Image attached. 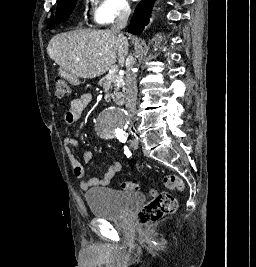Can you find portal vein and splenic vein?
<instances>
[{
    "label": "portal vein and splenic vein",
    "mask_w": 256,
    "mask_h": 267,
    "mask_svg": "<svg viewBox=\"0 0 256 267\" xmlns=\"http://www.w3.org/2000/svg\"><path fill=\"white\" fill-rule=\"evenodd\" d=\"M116 72H118L117 66H113V68H111L109 74H116Z\"/></svg>",
    "instance_id": "1"
}]
</instances>
